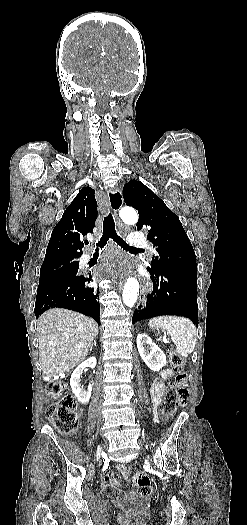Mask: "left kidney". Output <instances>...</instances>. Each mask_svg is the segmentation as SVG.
Returning <instances> with one entry per match:
<instances>
[{
    "label": "left kidney",
    "instance_id": "1",
    "mask_svg": "<svg viewBox=\"0 0 247 525\" xmlns=\"http://www.w3.org/2000/svg\"><path fill=\"white\" fill-rule=\"evenodd\" d=\"M136 345L141 359H143L149 369H152V371H160L162 367H165L166 357L163 351L157 347L156 343H153L148 335L139 333V335H137Z\"/></svg>",
    "mask_w": 247,
    "mask_h": 525
}]
</instances>
